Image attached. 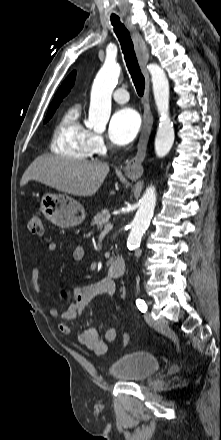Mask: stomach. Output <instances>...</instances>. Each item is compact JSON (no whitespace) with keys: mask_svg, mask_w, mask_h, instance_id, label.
<instances>
[{"mask_svg":"<svg viewBox=\"0 0 221 440\" xmlns=\"http://www.w3.org/2000/svg\"><path fill=\"white\" fill-rule=\"evenodd\" d=\"M128 176L135 179L133 174ZM40 210L46 219L61 228L77 226L85 219L83 206L67 195L45 194L41 199Z\"/></svg>","mask_w":221,"mask_h":440,"instance_id":"1","label":"stomach"}]
</instances>
